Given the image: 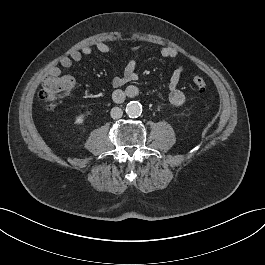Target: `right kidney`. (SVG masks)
Masks as SVG:
<instances>
[{
    "label": "right kidney",
    "mask_w": 265,
    "mask_h": 265,
    "mask_svg": "<svg viewBox=\"0 0 265 265\" xmlns=\"http://www.w3.org/2000/svg\"><path fill=\"white\" fill-rule=\"evenodd\" d=\"M83 122H84V116L83 115H79V116L76 117L75 124L80 125Z\"/></svg>",
    "instance_id": "right-kidney-1"
}]
</instances>
